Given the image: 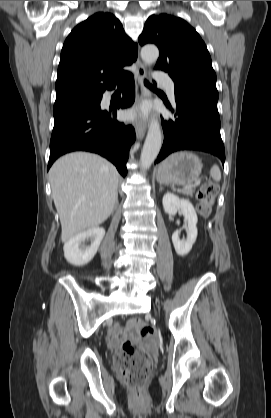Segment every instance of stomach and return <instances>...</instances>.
I'll use <instances>...</instances> for the list:
<instances>
[{
    "label": "stomach",
    "mask_w": 271,
    "mask_h": 418,
    "mask_svg": "<svg viewBox=\"0 0 271 418\" xmlns=\"http://www.w3.org/2000/svg\"><path fill=\"white\" fill-rule=\"evenodd\" d=\"M201 160L191 152H177L157 168V180L162 184L187 185L195 182L202 171Z\"/></svg>",
    "instance_id": "stomach-1"
}]
</instances>
